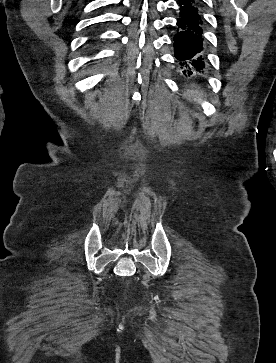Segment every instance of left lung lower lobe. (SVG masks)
<instances>
[{"instance_id":"left-lung-lower-lobe-1","label":"left lung lower lobe","mask_w":276,"mask_h":363,"mask_svg":"<svg viewBox=\"0 0 276 363\" xmlns=\"http://www.w3.org/2000/svg\"><path fill=\"white\" fill-rule=\"evenodd\" d=\"M202 0H178L180 18L174 36L175 57L183 73L200 71L207 62L203 36Z\"/></svg>"}]
</instances>
